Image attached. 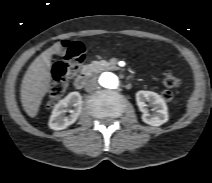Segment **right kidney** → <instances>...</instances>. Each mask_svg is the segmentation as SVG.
<instances>
[{"mask_svg": "<svg viewBox=\"0 0 212 183\" xmlns=\"http://www.w3.org/2000/svg\"><path fill=\"white\" fill-rule=\"evenodd\" d=\"M73 107V109H71ZM82 110V96L79 92H71L54 107L49 119V127L53 130H63L73 124ZM71 114L66 116L65 114Z\"/></svg>", "mask_w": 212, "mask_h": 183, "instance_id": "right-kidney-1", "label": "right kidney"}]
</instances>
